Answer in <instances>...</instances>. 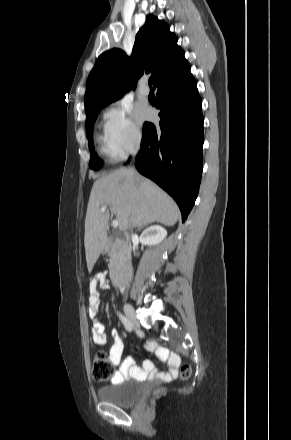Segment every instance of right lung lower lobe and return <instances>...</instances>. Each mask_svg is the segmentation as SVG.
Wrapping results in <instances>:
<instances>
[{
	"label": "right lung lower lobe",
	"instance_id": "1",
	"mask_svg": "<svg viewBox=\"0 0 291 440\" xmlns=\"http://www.w3.org/2000/svg\"><path fill=\"white\" fill-rule=\"evenodd\" d=\"M155 89L161 121L158 125L144 124L136 166L174 198L184 222L201 182L202 101L190 65L161 81Z\"/></svg>",
	"mask_w": 291,
	"mask_h": 440
}]
</instances>
